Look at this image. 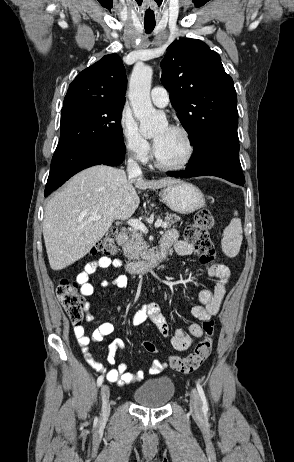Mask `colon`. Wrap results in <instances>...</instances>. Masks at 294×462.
Returning <instances> with one entry per match:
<instances>
[{
  "instance_id": "colon-1",
  "label": "colon",
  "mask_w": 294,
  "mask_h": 462,
  "mask_svg": "<svg viewBox=\"0 0 294 462\" xmlns=\"http://www.w3.org/2000/svg\"><path fill=\"white\" fill-rule=\"evenodd\" d=\"M214 225V217L210 209L203 208L196 212L193 222L185 229V239L194 248L203 265L214 262L215 251L209 236V230ZM115 229H110L97 243L92 252L113 255L116 252L114 244ZM57 297L66 311L71 323L80 326L84 319V298L78 292L76 283L62 279L57 286ZM203 338L196 344L194 350L186 357L173 356L169 360L170 367L183 374L196 371L209 357L213 347V321H203ZM143 348L150 353L157 351L156 346L150 341L142 343Z\"/></svg>"
}]
</instances>
